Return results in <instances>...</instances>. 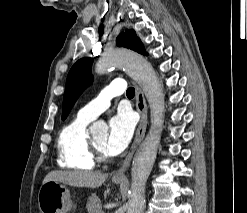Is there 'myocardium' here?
Returning <instances> with one entry per match:
<instances>
[{
	"instance_id": "1",
	"label": "myocardium",
	"mask_w": 247,
	"mask_h": 213,
	"mask_svg": "<svg viewBox=\"0 0 247 213\" xmlns=\"http://www.w3.org/2000/svg\"><path fill=\"white\" fill-rule=\"evenodd\" d=\"M87 145L89 155L94 162L104 163L108 162L111 159L109 155L104 154L99 150V148L95 145L91 137H88Z\"/></svg>"
}]
</instances>
